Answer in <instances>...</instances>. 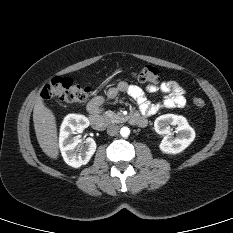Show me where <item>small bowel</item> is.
<instances>
[{"instance_id": "obj_1", "label": "small bowel", "mask_w": 233, "mask_h": 233, "mask_svg": "<svg viewBox=\"0 0 233 233\" xmlns=\"http://www.w3.org/2000/svg\"><path fill=\"white\" fill-rule=\"evenodd\" d=\"M148 92H161L164 99L159 103L150 102L144 90L134 84L125 81L119 82L116 88H112L107 92L108 98H114L119 92L127 93L132 97L139 106L140 115L143 117L151 116L164 109L182 108L186 104L185 90L182 86L174 81H164L159 85H149L146 87ZM104 103L101 96L95 97L88 104L90 112H99Z\"/></svg>"}]
</instances>
